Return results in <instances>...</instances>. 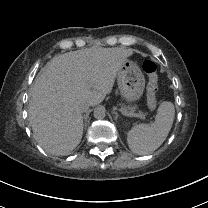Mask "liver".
Listing matches in <instances>:
<instances>
[{"mask_svg": "<svg viewBox=\"0 0 208 208\" xmlns=\"http://www.w3.org/2000/svg\"><path fill=\"white\" fill-rule=\"evenodd\" d=\"M132 55V49L91 47L54 57L32 86L29 122L36 141L55 155L77 147L84 130L78 105L100 104Z\"/></svg>", "mask_w": 208, "mask_h": 208, "instance_id": "6515ba94", "label": "liver"}]
</instances>
